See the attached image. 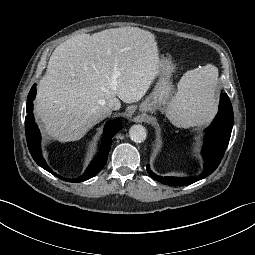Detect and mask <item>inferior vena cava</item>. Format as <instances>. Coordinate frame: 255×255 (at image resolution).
Wrapping results in <instances>:
<instances>
[{
  "instance_id": "obj_1",
  "label": "inferior vena cava",
  "mask_w": 255,
  "mask_h": 255,
  "mask_svg": "<svg viewBox=\"0 0 255 255\" xmlns=\"http://www.w3.org/2000/svg\"><path fill=\"white\" fill-rule=\"evenodd\" d=\"M107 106L111 109V110H118L121 107V103L119 101V99L117 98H111L107 101Z\"/></svg>"
}]
</instances>
